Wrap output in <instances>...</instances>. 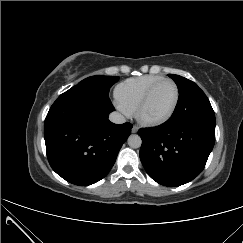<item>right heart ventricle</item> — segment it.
I'll list each match as a JSON object with an SVG mask.
<instances>
[{"label":"right heart ventricle","mask_w":243,"mask_h":243,"mask_svg":"<svg viewBox=\"0 0 243 243\" xmlns=\"http://www.w3.org/2000/svg\"><path fill=\"white\" fill-rule=\"evenodd\" d=\"M162 79L164 77L161 75L147 74L121 82L115 88V97L118 104L127 113H134L148 89Z\"/></svg>","instance_id":"e07e8e85"}]
</instances>
